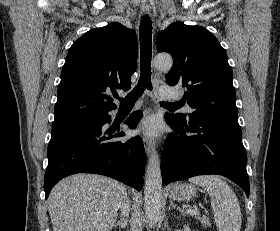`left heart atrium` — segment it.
Returning <instances> with one entry per match:
<instances>
[{
    "instance_id": "1",
    "label": "left heart atrium",
    "mask_w": 280,
    "mask_h": 231,
    "mask_svg": "<svg viewBox=\"0 0 280 231\" xmlns=\"http://www.w3.org/2000/svg\"><path fill=\"white\" fill-rule=\"evenodd\" d=\"M160 126L155 117H148L139 122L135 132L138 135L146 137H156L159 133Z\"/></svg>"
}]
</instances>
